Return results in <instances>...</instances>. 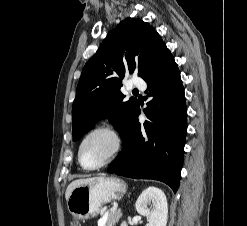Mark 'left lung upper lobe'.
I'll return each mask as SVG.
<instances>
[{
    "instance_id": "obj_1",
    "label": "left lung upper lobe",
    "mask_w": 247,
    "mask_h": 226,
    "mask_svg": "<svg viewBox=\"0 0 247 226\" xmlns=\"http://www.w3.org/2000/svg\"><path fill=\"white\" fill-rule=\"evenodd\" d=\"M164 46L155 29L140 19L126 18L109 32L85 64L77 85L72 109L74 140L105 116L119 132L127 126L138 101L131 97L123 102L121 81L134 71L143 78Z\"/></svg>"
}]
</instances>
